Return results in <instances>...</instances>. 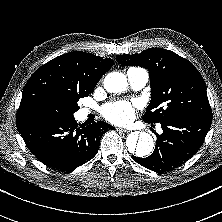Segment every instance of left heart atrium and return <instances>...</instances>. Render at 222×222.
<instances>
[{
  "label": "left heart atrium",
  "mask_w": 222,
  "mask_h": 222,
  "mask_svg": "<svg viewBox=\"0 0 222 222\" xmlns=\"http://www.w3.org/2000/svg\"><path fill=\"white\" fill-rule=\"evenodd\" d=\"M136 106V101L112 102L104 107L103 115L115 124H127L133 120Z\"/></svg>",
  "instance_id": "1"
}]
</instances>
